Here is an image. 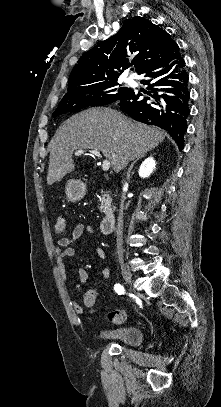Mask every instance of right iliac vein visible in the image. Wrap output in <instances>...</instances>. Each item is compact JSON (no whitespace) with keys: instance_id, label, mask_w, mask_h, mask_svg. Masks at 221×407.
<instances>
[{"instance_id":"right-iliac-vein-1","label":"right iliac vein","mask_w":221,"mask_h":407,"mask_svg":"<svg viewBox=\"0 0 221 407\" xmlns=\"http://www.w3.org/2000/svg\"><path fill=\"white\" fill-rule=\"evenodd\" d=\"M121 270H122V276L126 282V284H128L129 286H132V275L130 273V271L124 266H121Z\"/></svg>"}]
</instances>
